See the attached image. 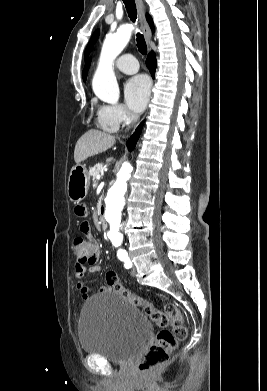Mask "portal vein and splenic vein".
<instances>
[{"label": "portal vein and splenic vein", "mask_w": 267, "mask_h": 391, "mask_svg": "<svg viewBox=\"0 0 267 391\" xmlns=\"http://www.w3.org/2000/svg\"><path fill=\"white\" fill-rule=\"evenodd\" d=\"M100 178H101V175H100V174H98V175H97V179H100Z\"/></svg>", "instance_id": "portal-vein-and-splenic-vein-1"}]
</instances>
